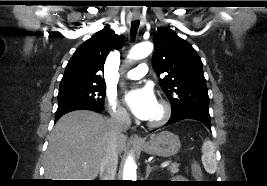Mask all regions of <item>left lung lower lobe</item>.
Returning <instances> with one entry per match:
<instances>
[{"mask_svg": "<svg viewBox=\"0 0 267 186\" xmlns=\"http://www.w3.org/2000/svg\"><path fill=\"white\" fill-rule=\"evenodd\" d=\"M184 119H194L200 121L205 124L209 130H211V117L209 115V111L201 109H187L177 113H172L167 125L173 124Z\"/></svg>", "mask_w": 267, "mask_h": 186, "instance_id": "0a47b994", "label": "left lung lower lobe"}]
</instances>
